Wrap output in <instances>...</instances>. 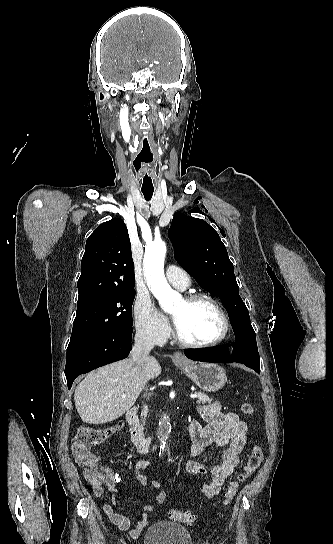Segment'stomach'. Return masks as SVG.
<instances>
[{
  "label": "stomach",
  "instance_id": "obj_1",
  "mask_svg": "<svg viewBox=\"0 0 333 544\" xmlns=\"http://www.w3.org/2000/svg\"><path fill=\"white\" fill-rule=\"evenodd\" d=\"M197 386L206 392H216L227 382L225 370L215 363L181 364L176 363Z\"/></svg>",
  "mask_w": 333,
  "mask_h": 544
}]
</instances>
